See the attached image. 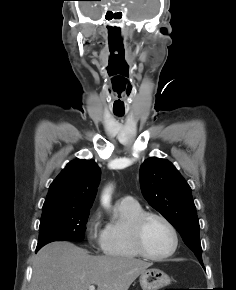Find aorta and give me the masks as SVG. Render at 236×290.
I'll use <instances>...</instances> for the list:
<instances>
[{
  "label": "aorta",
  "instance_id": "762f6f07",
  "mask_svg": "<svg viewBox=\"0 0 236 290\" xmlns=\"http://www.w3.org/2000/svg\"><path fill=\"white\" fill-rule=\"evenodd\" d=\"M110 192H111V189L108 188L105 190L103 196H102V204L105 206V207H109L110 206Z\"/></svg>",
  "mask_w": 236,
  "mask_h": 290
}]
</instances>
